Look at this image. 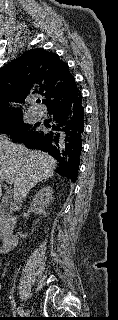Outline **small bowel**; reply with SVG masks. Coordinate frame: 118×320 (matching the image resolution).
I'll return each mask as SVG.
<instances>
[{
	"mask_svg": "<svg viewBox=\"0 0 118 320\" xmlns=\"http://www.w3.org/2000/svg\"><path fill=\"white\" fill-rule=\"evenodd\" d=\"M1 288H2V285H1V283H0V290H1Z\"/></svg>",
	"mask_w": 118,
	"mask_h": 320,
	"instance_id": "obj_1",
	"label": "small bowel"
}]
</instances>
